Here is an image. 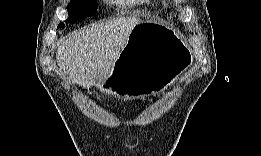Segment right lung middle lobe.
<instances>
[{
  "label": "right lung middle lobe",
  "mask_w": 261,
  "mask_h": 156,
  "mask_svg": "<svg viewBox=\"0 0 261 156\" xmlns=\"http://www.w3.org/2000/svg\"><path fill=\"white\" fill-rule=\"evenodd\" d=\"M67 10L69 12V18L66 22L74 23L76 21H82L86 17L92 16L97 10V4L94 0H71ZM65 27L64 23H61L58 28Z\"/></svg>",
  "instance_id": "1"
}]
</instances>
